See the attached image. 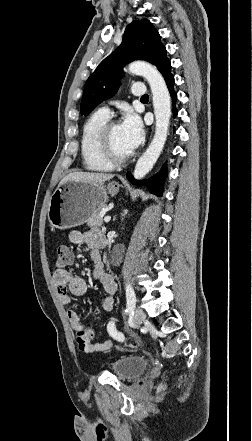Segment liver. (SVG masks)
<instances>
[{
    "label": "liver",
    "instance_id": "1",
    "mask_svg": "<svg viewBox=\"0 0 252 441\" xmlns=\"http://www.w3.org/2000/svg\"><path fill=\"white\" fill-rule=\"evenodd\" d=\"M113 177H114L113 174H106V173L72 172L61 180L60 185L66 183L67 181L103 184L105 181L110 180Z\"/></svg>",
    "mask_w": 252,
    "mask_h": 441
}]
</instances>
